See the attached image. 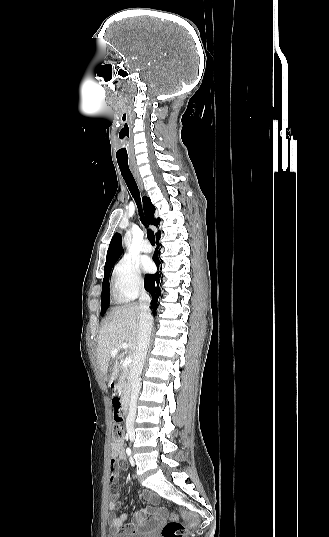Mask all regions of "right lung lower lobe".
Here are the masks:
<instances>
[{"instance_id": "obj_1", "label": "right lung lower lobe", "mask_w": 329, "mask_h": 537, "mask_svg": "<svg viewBox=\"0 0 329 537\" xmlns=\"http://www.w3.org/2000/svg\"><path fill=\"white\" fill-rule=\"evenodd\" d=\"M159 238H160V236L157 237V245L159 244L158 243ZM158 248H159V246H157V248L155 250L153 260H154L156 266L159 268V266L161 264V261L159 260V257H158V253H159ZM160 277H161V275H160L159 272H156L153 275H150V274L145 275L144 285H145V289L152 296L151 308L153 310V313H155V311L157 310V301H158L159 296L161 295V291H160V287H159V279H160Z\"/></svg>"}]
</instances>
